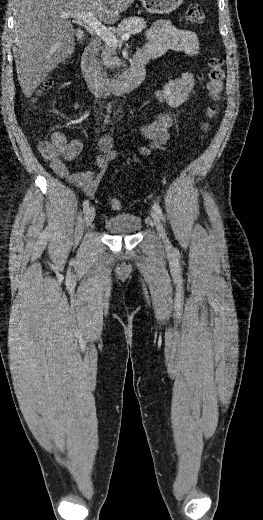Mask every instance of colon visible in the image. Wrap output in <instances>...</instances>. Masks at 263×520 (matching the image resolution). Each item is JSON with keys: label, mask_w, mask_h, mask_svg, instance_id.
I'll use <instances>...</instances> for the list:
<instances>
[{"label": "colon", "mask_w": 263, "mask_h": 520, "mask_svg": "<svg viewBox=\"0 0 263 520\" xmlns=\"http://www.w3.org/2000/svg\"><path fill=\"white\" fill-rule=\"evenodd\" d=\"M185 19L190 24H203L205 22V14L199 3H190L185 12ZM208 74L206 88L210 98L213 101V106L209 109V115L213 116L216 114L217 105L222 98L223 81H224V69L223 59L221 57L213 56L208 59L207 62ZM52 86L50 79L46 80L41 87L40 92L48 90ZM40 153L45 159H51L55 156V147L52 142H41ZM110 207L113 210H120L122 208V202L118 198H112L110 200Z\"/></svg>", "instance_id": "1"}]
</instances>
